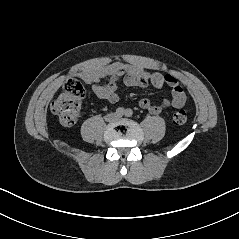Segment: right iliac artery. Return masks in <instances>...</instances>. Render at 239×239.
I'll return each instance as SVG.
<instances>
[{"instance_id": "obj_1", "label": "right iliac artery", "mask_w": 239, "mask_h": 239, "mask_svg": "<svg viewBox=\"0 0 239 239\" xmlns=\"http://www.w3.org/2000/svg\"><path fill=\"white\" fill-rule=\"evenodd\" d=\"M116 114H117L118 116H123V115L125 114V109L122 108V107L117 108V109H116Z\"/></svg>"}]
</instances>
